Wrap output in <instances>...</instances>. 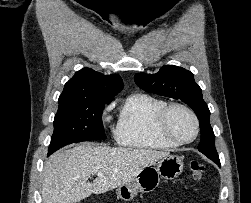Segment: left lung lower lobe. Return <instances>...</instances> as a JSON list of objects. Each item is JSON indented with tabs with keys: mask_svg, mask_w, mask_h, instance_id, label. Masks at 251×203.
<instances>
[{
	"mask_svg": "<svg viewBox=\"0 0 251 203\" xmlns=\"http://www.w3.org/2000/svg\"><path fill=\"white\" fill-rule=\"evenodd\" d=\"M215 162H216L218 165H219V163H220L219 160H216Z\"/></svg>",
	"mask_w": 251,
	"mask_h": 203,
	"instance_id": "1",
	"label": "left lung lower lobe"
}]
</instances>
